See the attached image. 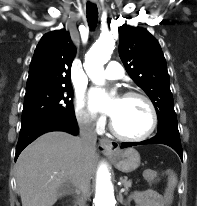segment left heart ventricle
Here are the masks:
<instances>
[{"label":"left heart ventricle","mask_w":197,"mask_h":206,"mask_svg":"<svg viewBox=\"0 0 197 206\" xmlns=\"http://www.w3.org/2000/svg\"><path fill=\"white\" fill-rule=\"evenodd\" d=\"M112 119L120 132L138 136L148 130L151 114L143 100L135 97L119 98Z\"/></svg>","instance_id":"b2bd125f"}]
</instances>
